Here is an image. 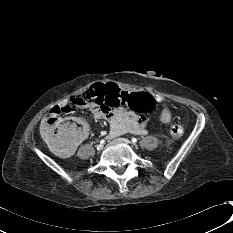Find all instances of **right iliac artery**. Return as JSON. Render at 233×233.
<instances>
[{"instance_id":"right-iliac-artery-1","label":"right iliac artery","mask_w":233,"mask_h":233,"mask_svg":"<svg viewBox=\"0 0 233 233\" xmlns=\"http://www.w3.org/2000/svg\"><path fill=\"white\" fill-rule=\"evenodd\" d=\"M105 142V140H101L100 143L103 144Z\"/></svg>"}]
</instances>
